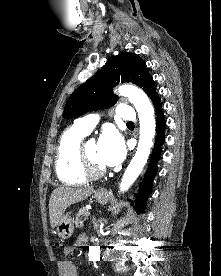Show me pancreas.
I'll return each instance as SVG.
<instances>
[{
  "label": "pancreas",
  "instance_id": "obj_1",
  "mask_svg": "<svg viewBox=\"0 0 221 276\" xmlns=\"http://www.w3.org/2000/svg\"><path fill=\"white\" fill-rule=\"evenodd\" d=\"M88 212V210L86 208H82L79 210V212L76 215V219H75V225L76 228H81L83 227V222L86 219V213ZM84 217V219H83Z\"/></svg>",
  "mask_w": 221,
  "mask_h": 276
}]
</instances>
